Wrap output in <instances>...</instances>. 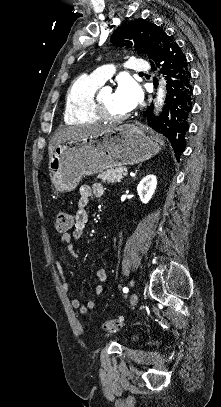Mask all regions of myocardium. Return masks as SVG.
<instances>
[{
	"label": "myocardium",
	"mask_w": 221,
	"mask_h": 407,
	"mask_svg": "<svg viewBox=\"0 0 221 407\" xmlns=\"http://www.w3.org/2000/svg\"><path fill=\"white\" fill-rule=\"evenodd\" d=\"M93 109H94L95 114L100 119L108 120V121H112V122L122 121V120L127 119L130 116L129 113L122 114V115H116V114L112 113L100 98H97L95 100Z\"/></svg>",
	"instance_id": "myocardium-1"
}]
</instances>
